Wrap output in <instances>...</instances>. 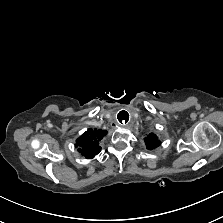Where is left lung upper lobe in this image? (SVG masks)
I'll return each instance as SVG.
<instances>
[{
	"label": "left lung upper lobe",
	"mask_w": 223,
	"mask_h": 223,
	"mask_svg": "<svg viewBox=\"0 0 223 223\" xmlns=\"http://www.w3.org/2000/svg\"><path fill=\"white\" fill-rule=\"evenodd\" d=\"M144 141L147 149L149 150L155 149L161 144L160 140H158L157 136L154 133H150L149 135H147Z\"/></svg>",
	"instance_id": "1"
}]
</instances>
